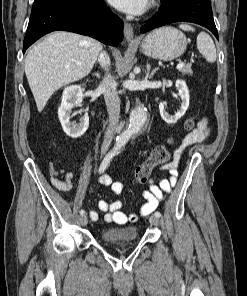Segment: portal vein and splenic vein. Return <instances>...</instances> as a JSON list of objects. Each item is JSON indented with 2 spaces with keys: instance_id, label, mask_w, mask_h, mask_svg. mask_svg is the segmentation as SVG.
Wrapping results in <instances>:
<instances>
[{
  "instance_id": "obj_1",
  "label": "portal vein and splenic vein",
  "mask_w": 247,
  "mask_h": 296,
  "mask_svg": "<svg viewBox=\"0 0 247 296\" xmlns=\"http://www.w3.org/2000/svg\"><path fill=\"white\" fill-rule=\"evenodd\" d=\"M184 66V63L182 61H179V63L177 64L176 68L180 69Z\"/></svg>"
}]
</instances>
